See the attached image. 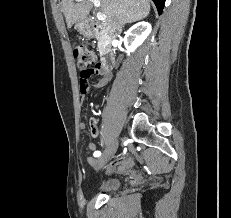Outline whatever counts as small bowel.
<instances>
[{
	"label": "small bowel",
	"instance_id": "c3829d8e",
	"mask_svg": "<svg viewBox=\"0 0 231 218\" xmlns=\"http://www.w3.org/2000/svg\"><path fill=\"white\" fill-rule=\"evenodd\" d=\"M95 73L102 75L101 79L96 83V86L102 87L108 83L110 76L107 73L101 71V67L99 63H96L94 66H89V69H80L79 70L80 88L83 93H85L89 89V78ZM80 128L82 129L85 128V124L81 123ZM98 133L99 131L96 122L94 121L91 122L90 123L91 136L96 138L98 136ZM89 148L91 150H94L96 146L94 143H90ZM87 161L90 165L97 166V161L94 160L93 158L88 157ZM133 165H134L133 156L130 154H126L107 164L105 166V169L108 173H112L114 171H117L119 173H124L130 171L133 168Z\"/></svg>",
	"mask_w": 231,
	"mask_h": 218
}]
</instances>
